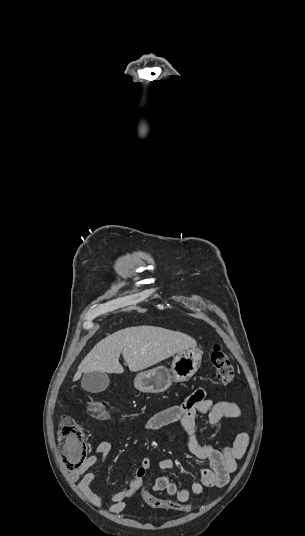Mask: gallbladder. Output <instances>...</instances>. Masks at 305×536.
Masks as SVG:
<instances>
[{"label":"gallbladder","mask_w":305,"mask_h":536,"mask_svg":"<svg viewBox=\"0 0 305 536\" xmlns=\"http://www.w3.org/2000/svg\"><path fill=\"white\" fill-rule=\"evenodd\" d=\"M109 376L107 374H101V372H89L84 374L81 380V386L86 392L91 394H97V392H104L109 386Z\"/></svg>","instance_id":"gallbladder-1"}]
</instances>
